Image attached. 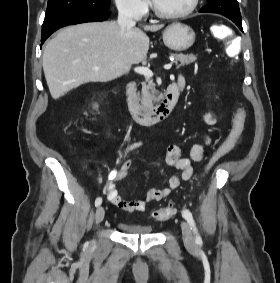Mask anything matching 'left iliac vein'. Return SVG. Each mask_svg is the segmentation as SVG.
I'll return each instance as SVG.
<instances>
[{"instance_id": "4c4485c4", "label": "left iliac vein", "mask_w": 280, "mask_h": 283, "mask_svg": "<svg viewBox=\"0 0 280 283\" xmlns=\"http://www.w3.org/2000/svg\"><path fill=\"white\" fill-rule=\"evenodd\" d=\"M182 237L185 245L189 248H195L196 243L190 229L189 224L186 221L181 222Z\"/></svg>"}]
</instances>
